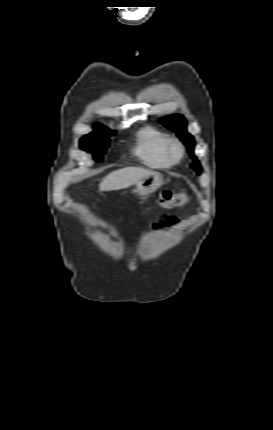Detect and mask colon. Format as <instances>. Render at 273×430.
<instances>
[{
	"mask_svg": "<svg viewBox=\"0 0 273 430\" xmlns=\"http://www.w3.org/2000/svg\"><path fill=\"white\" fill-rule=\"evenodd\" d=\"M188 202V197L184 193H173L163 191L158 199V204L165 208L183 206Z\"/></svg>",
	"mask_w": 273,
	"mask_h": 430,
	"instance_id": "obj_1",
	"label": "colon"
}]
</instances>
